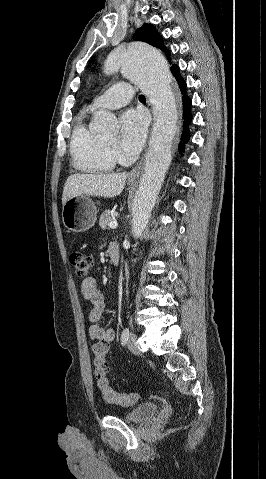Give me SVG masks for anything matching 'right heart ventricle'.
Returning a JSON list of instances; mask_svg holds the SVG:
<instances>
[{"label": "right heart ventricle", "mask_w": 266, "mask_h": 479, "mask_svg": "<svg viewBox=\"0 0 266 479\" xmlns=\"http://www.w3.org/2000/svg\"><path fill=\"white\" fill-rule=\"evenodd\" d=\"M70 151L75 168L86 173H108L115 160L103 138L92 132L84 119L79 118L74 126Z\"/></svg>", "instance_id": "e07e8e85"}]
</instances>
